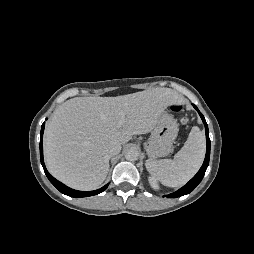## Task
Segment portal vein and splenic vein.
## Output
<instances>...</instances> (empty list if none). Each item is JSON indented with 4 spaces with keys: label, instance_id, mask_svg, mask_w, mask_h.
<instances>
[{
    "label": "portal vein and splenic vein",
    "instance_id": "obj_1",
    "mask_svg": "<svg viewBox=\"0 0 254 254\" xmlns=\"http://www.w3.org/2000/svg\"><path fill=\"white\" fill-rule=\"evenodd\" d=\"M124 120H125V114H124V112L121 111L119 113L118 127H121L123 125Z\"/></svg>",
    "mask_w": 254,
    "mask_h": 254
}]
</instances>
